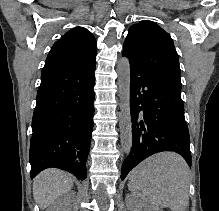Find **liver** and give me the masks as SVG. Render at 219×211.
<instances>
[{
  "instance_id": "6515ba94",
  "label": "liver",
  "mask_w": 219,
  "mask_h": 211,
  "mask_svg": "<svg viewBox=\"0 0 219 211\" xmlns=\"http://www.w3.org/2000/svg\"><path fill=\"white\" fill-rule=\"evenodd\" d=\"M74 177L68 171L48 167L36 175L33 181V197L41 209L48 207L59 195L72 189Z\"/></svg>"
}]
</instances>
